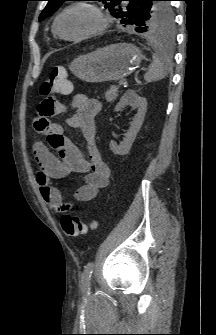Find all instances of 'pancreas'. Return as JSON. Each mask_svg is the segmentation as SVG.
Segmentation results:
<instances>
[{
    "instance_id": "1",
    "label": "pancreas",
    "mask_w": 216,
    "mask_h": 335,
    "mask_svg": "<svg viewBox=\"0 0 216 335\" xmlns=\"http://www.w3.org/2000/svg\"><path fill=\"white\" fill-rule=\"evenodd\" d=\"M118 97V86L112 85L110 89L105 92V98L108 102L112 103Z\"/></svg>"
}]
</instances>
